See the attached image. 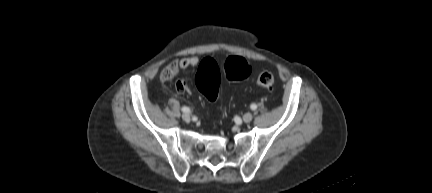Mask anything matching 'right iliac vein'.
I'll list each match as a JSON object with an SVG mask.
<instances>
[{"label": "right iliac vein", "instance_id": "right-iliac-vein-1", "mask_svg": "<svg viewBox=\"0 0 432 193\" xmlns=\"http://www.w3.org/2000/svg\"><path fill=\"white\" fill-rule=\"evenodd\" d=\"M182 119H183L185 122H190L191 117H190V115H189L188 113H184V114L182 115Z\"/></svg>", "mask_w": 432, "mask_h": 193}]
</instances>
